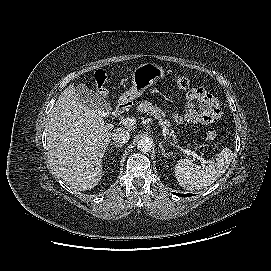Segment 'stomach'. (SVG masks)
I'll list each match as a JSON object with an SVG mask.
<instances>
[{"mask_svg":"<svg viewBox=\"0 0 271 271\" xmlns=\"http://www.w3.org/2000/svg\"><path fill=\"white\" fill-rule=\"evenodd\" d=\"M165 77L164 69L155 63H144L132 72V85L120 96V102L130 105L149 87Z\"/></svg>","mask_w":271,"mask_h":271,"instance_id":"obj_1","label":"stomach"}]
</instances>
